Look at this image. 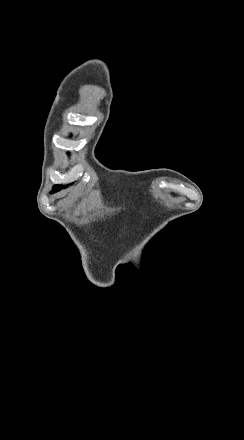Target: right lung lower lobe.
Segmentation results:
<instances>
[{
    "instance_id": "1",
    "label": "right lung lower lobe",
    "mask_w": 244,
    "mask_h": 440,
    "mask_svg": "<svg viewBox=\"0 0 244 440\" xmlns=\"http://www.w3.org/2000/svg\"><path fill=\"white\" fill-rule=\"evenodd\" d=\"M60 189H61V188L55 186V187L53 188V190L51 191V193H55V192L59 191Z\"/></svg>"
}]
</instances>
